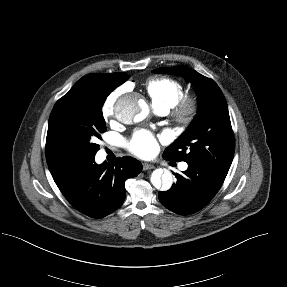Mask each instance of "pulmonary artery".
<instances>
[{
  "mask_svg": "<svg viewBox=\"0 0 287 287\" xmlns=\"http://www.w3.org/2000/svg\"><path fill=\"white\" fill-rule=\"evenodd\" d=\"M156 110H157V112H158L159 114H161V115H165V114L167 113V110L164 109V108H156ZM180 168H181L182 170H186V169H187V164H186V163H182V164L180 165Z\"/></svg>",
  "mask_w": 287,
  "mask_h": 287,
  "instance_id": "pulmonary-artery-1",
  "label": "pulmonary artery"
}]
</instances>
